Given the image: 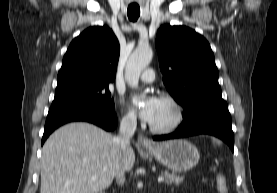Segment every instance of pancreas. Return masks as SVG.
<instances>
[{
  "label": "pancreas",
  "mask_w": 277,
  "mask_h": 193,
  "mask_svg": "<svg viewBox=\"0 0 277 193\" xmlns=\"http://www.w3.org/2000/svg\"><path fill=\"white\" fill-rule=\"evenodd\" d=\"M161 176H163L166 179V184L172 185H179L180 183L183 182L184 177L183 176H179L173 173H170L168 171H164L161 173Z\"/></svg>",
  "instance_id": "pancreas-1"
}]
</instances>
